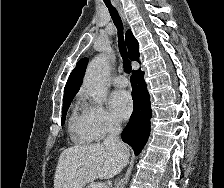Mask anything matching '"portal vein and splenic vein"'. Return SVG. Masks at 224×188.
Segmentation results:
<instances>
[{"mask_svg":"<svg viewBox=\"0 0 224 188\" xmlns=\"http://www.w3.org/2000/svg\"><path fill=\"white\" fill-rule=\"evenodd\" d=\"M91 188H106L103 183H93Z\"/></svg>","mask_w":224,"mask_h":188,"instance_id":"obj_1","label":"portal vein and splenic vein"}]
</instances>
